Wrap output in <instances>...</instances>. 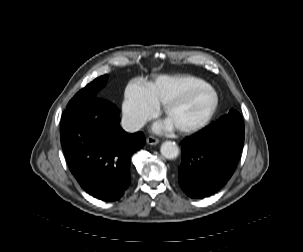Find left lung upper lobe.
I'll use <instances>...</instances> for the list:
<instances>
[{
    "instance_id": "1",
    "label": "left lung upper lobe",
    "mask_w": 303,
    "mask_h": 252,
    "mask_svg": "<svg viewBox=\"0 0 303 252\" xmlns=\"http://www.w3.org/2000/svg\"><path fill=\"white\" fill-rule=\"evenodd\" d=\"M244 131V124L241 115L231 109L227 115L222 116L218 121L203 129L205 132L215 131Z\"/></svg>"
}]
</instances>
